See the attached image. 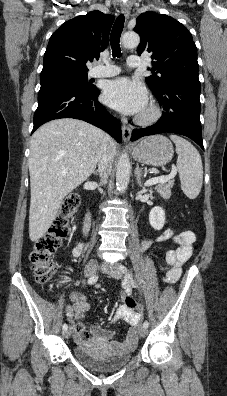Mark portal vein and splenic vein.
Segmentation results:
<instances>
[{
	"label": "portal vein and splenic vein",
	"mask_w": 227,
	"mask_h": 396,
	"mask_svg": "<svg viewBox=\"0 0 227 396\" xmlns=\"http://www.w3.org/2000/svg\"><path fill=\"white\" fill-rule=\"evenodd\" d=\"M176 174H177V169L175 167H172L170 174H168L166 176H158V177L151 178L146 181L145 186H151V185H154L157 183L167 182L169 179L174 178L176 176Z\"/></svg>",
	"instance_id": "18ae733b"
}]
</instances>
